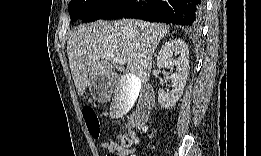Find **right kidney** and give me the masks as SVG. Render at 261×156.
<instances>
[{
    "label": "right kidney",
    "mask_w": 261,
    "mask_h": 156,
    "mask_svg": "<svg viewBox=\"0 0 261 156\" xmlns=\"http://www.w3.org/2000/svg\"><path fill=\"white\" fill-rule=\"evenodd\" d=\"M173 55L177 58H173ZM157 66L159 68L170 69V81L172 84L171 91H164L159 89L158 102L162 108H172L183 94L184 87L186 86L188 70H189V49L188 45L182 39H172L167 41L160 49L157 55ZM175 71L173 72V70ZM126 77L122 79L125 82ZM135 89L128 97L131 101L137 96L138 88Z\"/></svg>",
    "instance_id": "obj_1"
}]
</instances>
